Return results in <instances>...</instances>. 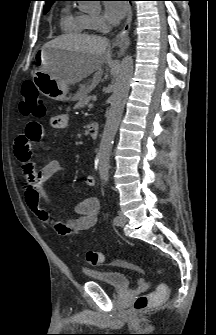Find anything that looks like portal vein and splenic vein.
<instances>
[{
	"instance_id": "18ae733b",
	"label": "portal vein and splenic vein",
	"mask_w": 216,
	"mask_h": 335,
	"mask_svg": "<svg viewBox=\"0 0 216 335\" xmlns=\"http://www.w3.org/2000/svg\"><path fill=\"white\" fill-rule=\"evenodd\" d=\"M88 107H89V108H93V104L90 103V104L88 105Z\"/></svg>"
}]
</instances>
